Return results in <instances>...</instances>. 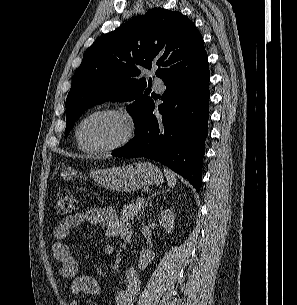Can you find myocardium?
<instances>
[{
  "label": "myocardium",
  "instance_id": "myocardium-1",
  "mask_svg": "<svg viewBox=\"0 0 297 305\" xmlns=\"http://www.w3.org/2000/svg\"><path fill=\"white\" fill-rule=\"evenodd\" d=\"M99 115H111L119 118L125 126V133L123 137L118 140L117 142L110 144V145H105V146H85L82 143L81 140V128L83 124L90 118L99 116ZM135 134V123L129 113H127L124 110L118 109V108H100L96 109L94 111L89 112L85 116H83L78 123L76 124L75 127V139L78 144V147L87 153H108V152H113L116 151L124 146H126L134 137Z\"/></svg>",
  "mask_w": 297,
  "mask_h": 305
}]
</instances>
